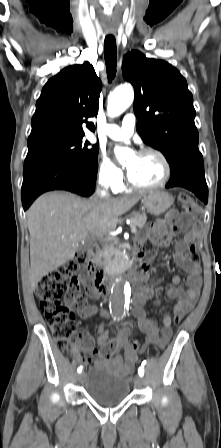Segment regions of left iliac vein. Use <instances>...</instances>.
<instances>
[{"label": "left iliac vein", "instance_id": "4c4485c4", "mask_svg": "<svg viewBox=\"0 0 221 448\" xmlns=\"http://www.w3.org/2000/svg\"><path fill=\"white\" fill-rule=\"evenodd\" d=\"M143 384V378L141 377V376H136L135 378H134V385L136 386V387H140L141 385Z\"/></svg>", "mask_w": 221, "mask_h": 448}]
</instances>
